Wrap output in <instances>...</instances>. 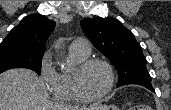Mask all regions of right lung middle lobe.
Returning a JSON list of instances; mask_svg holds the SVG:
<instances>
[{
	"mask_svg": "<svg viewBox=\"0 0 171 110\" xmlns=\"http://www.w3.org/2000/svg\"><path fill=\"white\" fill-rule=\"evenodd\" d=\"M43 54L13 45L0 46V73L12 68H28L41 73Z\"/></svg>",
	"mask_w": 171,
	"mask_h": 110,
	"instance_id": "1",
	"label": "right lung middle lobe"
}]
</instances>
